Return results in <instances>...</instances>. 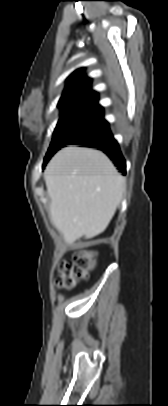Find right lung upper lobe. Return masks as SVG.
<instances>
[{
  "instance_id": "cb5924a9",
  "label": "right lung upper lobe",
  "mask_w": 168,
  "mask_h": 406,
  "mask_svg": "<svg viewBox=\"0 0 168 406\" xmlns=\"http://www.w3.org/2000/svg\"><path fill=\"white\" fill-rule=\"evenodd\" d=\"M83 68L72 73L59 100L62 110L79 106H99L98 95L91 90V79L83 75Z\"/></svg>"
}]
</instances>
